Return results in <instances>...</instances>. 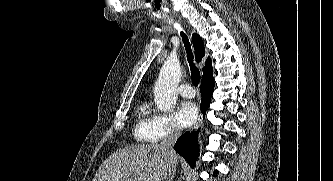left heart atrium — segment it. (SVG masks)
<instances>
[{"label": "left heart atrium", "instance_id": "1", "mask_svg": "<svg viewBox=\"0 0 333 181\" xmlns=\"http://www.w3.org/2000/svg\"><path fill=\"white\" fill-rule=\"evenodd\" d=\"M198 117V108L191 101H184L179 104L175 112L177 123L182 127L191 126Z\"/></svg>", "mask_w": 333, "mask_h": 181}]
</instances>
